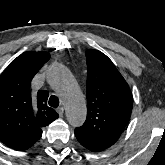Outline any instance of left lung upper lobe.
<instances>
[{
  "mask_svg": "<svg viewBox=\"0 0 165 165\" xmlns=\"http://www.w3.org/2000/svg\"><path fill=\"white\" fill-rule=\"evenodd\" d=\"M87 118L77 128L107 146L113 145L130 120L133 97L112 61L87 50Z\"/></svg>",
  "mask_w": 165,
  "mask_h": 165,
  "instance_id": "left-lung-upper-lobe-1",
  "label": "left lung upper lobe"
}]
</instances>
